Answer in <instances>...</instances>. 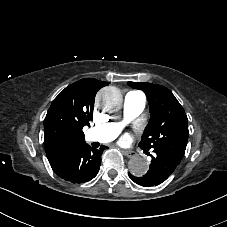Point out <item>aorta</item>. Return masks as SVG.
<instances>
[{"instance_id": "1", "label": "aorta", "mask_w": 227, "mask_h": 227, "mask_svg": "<svg viewBox=\"0 0 227 227\" xmlns=\"http://www.w3.org/2000/svg\"><path fill=\"white\" fill-rule=\"evenodd\" d=\"M96 103L106 111H115L122 104V95L116 87H105L98 92ZM128 166L130 173L138 177L145 175L149 167L146 159L139 156L131 158Z\"/></svg>"}]
</instances>
